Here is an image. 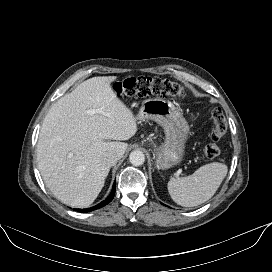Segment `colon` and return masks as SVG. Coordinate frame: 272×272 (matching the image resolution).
Wrapping results in <instances>:
<instances>
[{
	"label": "colon",
	"instance_id": "5ec220e1",
	"mask_svg": "<svg viewBox=\"0 0 272 272\" xmlns=\"http://www.w3.org/2000/svg\"><path fill=\"white\" fill-rule=\"evenodd\" d=\"M114 92L125 97H146L159 95L163 97H180L184 94L181 85L168 79L152 77H132L116 82L113 85ZM227 130V122L223 112L219 108L211 111L210 138L213 141L222 137ZM220 149L215 143H209L204 148L207 158L213 159L219 155Z\"/></svg>",
	"mask_w": 272,
	"mask_h": 272
}]
</instances>
